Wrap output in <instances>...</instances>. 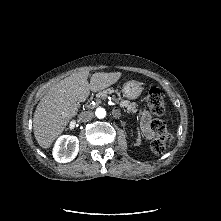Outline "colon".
I'll list each match as a JSON object with an SVG mask.
<instances>
[{"label": "colon", "instance_id": "obj_1", "mask_svg": "<svg viewBox=\"0 0 221 221\" xmlns=\"http://www.w3.org/2000/svg\"><path fill=\"white\" fill-rule=\"evenodd\" d=\"M146 104L150 112L155 116L163 115L166 110L165 101L162 93L157 88H152L146 96ZM150 129L155 135L151 143V149L154 153L160 154L163 152L168 137L166 124L159 118H154L150 122Z\"/></svg>", "mask_w": 221, "mask_h": 221}]
</instances>
